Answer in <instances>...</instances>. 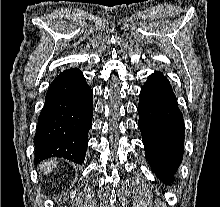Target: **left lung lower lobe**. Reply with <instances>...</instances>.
I'll return each instance as SVG.
<instances>
[{"mask_svg":"<svg viewBox=\"0 0 220 207\" xmlns=\"http://www.w3.org/2000/svg\"><path fill=\"white\" fill-rule=\"evenodd\" d=\"M137 110L146 158L157 177L171 183L182 161L184 122L172 87L161 72L149 76Z\"/></svg>","mask_w":220,"mask_h":207,"instance_id":"obj_1","label":"left lung lower lobe"}]
</instances>
